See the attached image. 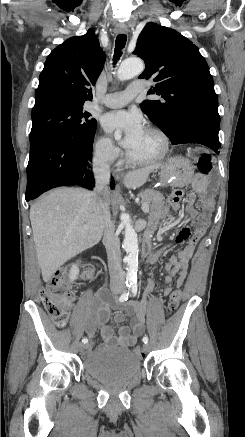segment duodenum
I'll return each instance as SVG.
<instances>
[{
    "label": "duodenum",
    "instance_id": "410a0bca",
    "mask_svg": "<svg viewBox=\"0 0 245 437\" xmlns=\"http://www.w3.org/2000/svg\"><path fill=\"white\" fill-rule=\"evenodd\" d=\"M151 232L147 231L144 234V240H143V248H142V253L143 256H145L147 258V263L150 264L151 263V256H149V252H150V247H151Z\"/></svg>",
    "mask_w": 245,
    "mask_h": 437
}]
</instances>
